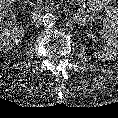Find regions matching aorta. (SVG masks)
Wrapping results in <instances>:
<instances>
[{
    "label": "aorta",
    "instance_id": "aorta-1",
    "mask_svg": "<svg viewBox=\"0 0 118 118\" xmlns=\"http://www.w3.org/2000/svg\"><path fill=\"white\" fill-rule=\"evenodd\" d=\"M42 21L45 26L51 27L56 23V17L51 13H46Z\"/></svg>",
    "mask_w": 118,
    "mask_h": 118
}]
</instances>
